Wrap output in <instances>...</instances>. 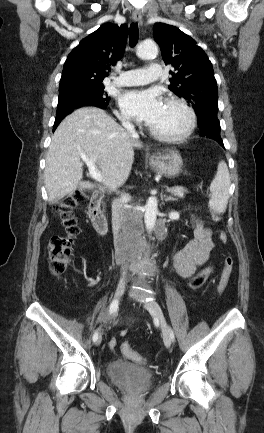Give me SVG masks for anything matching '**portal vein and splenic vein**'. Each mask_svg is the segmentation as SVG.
<instances>
[{
  "mask_svg": "<svg viewBox=\"0 0 264 433\" xmlns=\"http://www.w3.org/2000/svg\"><path fill=\"white\" fill-rule=\"evenodd\" d=\"M81 158L84 160V162L86 163V165L88 167L89 175L94 180L103 183L104 180L102 179L100 171L97 169V167L95 165L96 159L93 157H88L87 155H84V154L81 155ZM112 189H115V188L112 187ZM167 191L171 192V193H178V194L182 195L187 190L183 187L175 186V187L168 188Z\"/></svg>",
  "mask_w": 264,
  "mask_h": 433,
  "instance_id": "portal-vein-and-splenic-vein-1",
  "label": "portal vein and splenic vein"
}]
</instances>
